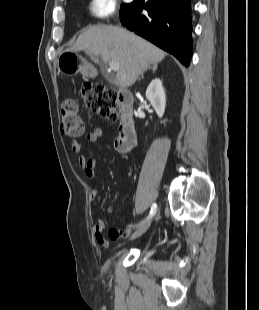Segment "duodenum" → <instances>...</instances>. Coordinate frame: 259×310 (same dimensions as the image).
I'll return each mask as SVG.
<instances>
[{
    "mask_svg": "<svg viewBox=\"0 0 259 310\" xmlns=\"http://www.w3.org/2000/svg\"><path fill=\"white\" fill-rule=\"evenodd\" d=\"M118 100L121 106L118 147L122 152H129L136 144V133L133 121V98L128 91H120Z\"/></svg>",
    "mask_w": 259,
    "mask_h": 310,
    "instance_id": "duodenum-1",
    "label": "duodenum"
}]
</instances>
